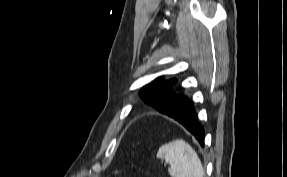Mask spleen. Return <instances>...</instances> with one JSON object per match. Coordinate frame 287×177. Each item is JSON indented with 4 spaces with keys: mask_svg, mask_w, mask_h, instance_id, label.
<instances>
[{
    "mask_svg": "<svg viewBox=\"0 0 287 177\" xmlns=\"http://www.w3.org/2000/svg\"><path fill=\"white\" fill-rule=\"evenodd\" d=\"M157 158H164L170 164L172 177H204L202 163L194 149L182 139L162 145Z\"/></svg>",
    "mask_w": 287,
    "mask_h": 177,
    "instance_id": "spleen-1",
    "label": "spleen"
}]
</instances>
